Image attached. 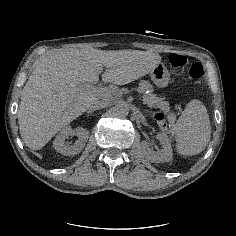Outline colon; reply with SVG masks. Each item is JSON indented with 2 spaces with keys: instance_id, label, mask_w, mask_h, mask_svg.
Returning <instances> with one entry per match:
<instances>
[{
  "instance_id": "5ec220e1",
  "label": "colon",
  "mask_w": 236,
  "mask_h": 236,
  "mask_svg": "<svg viewBox=\"0 0 236 236\" xmlns=\"http://www.w3.org/2000/svg\"><path fill=\"white\" fill-rule=\"evenodd\" d=\"M168 63L171 68L178 73H181L182 68L188 63V57L185 54L172 52L168 55ZM205 70L203 65L200 62H193L188 70V77L194 83H199L203 79ZM164 112L157 111L156 118L161 120Z\"/></svg>"
}]
</instances>
